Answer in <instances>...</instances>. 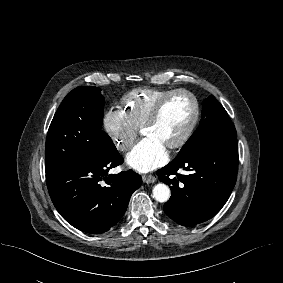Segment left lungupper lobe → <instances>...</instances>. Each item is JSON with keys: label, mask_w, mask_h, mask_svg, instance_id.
Masks as SVG:
<instances>
[{"label": "left lung upper lobe", "mask_w": 283, "mask_h": 283, "mask_svg": "<svg viewBox=\"0 0 283 283\" xmlns=\"http://www.w3.org/2000/svg\"><path fill=\"white\" fill-rule=\"evenodd\" d=\"M236 136V129L226 110L211 95L204 100L202 119L198 128L182 147L179 154L202 144L220 142L236 138Z\"/></svg>", "instance_id": "left-lung-upper-lobe-1"}]
</instances>
